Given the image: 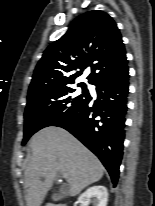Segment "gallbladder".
I'll use <instances>...</instances> for the list:
<instances>
[{
  "instance_id": "bac80fb5",
  "label": "gallbladder",
  "mask_w": 155,
  "mask_h": 206,
  "mask_svg": "<svg viewBox=\"0 0 155 206\" xmlns=\"http://www.w3.org/2000/svg\"><path fill=\"white\" fill-rule=\"evenodd\" d=\"M63 198V194L62 193H54L52 195V200L53 201H59Z\"/></svg>"
}]
</instances>
